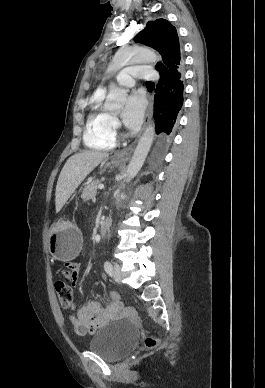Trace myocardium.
Listing matches in <instances>:
<instances>
[{
    "mask_svg": "<svg viewBox=\"0 0 265 388\" xmlns=\"http://www.w3.org/2000/svg\"><path fill=\"white\" fill-rule=\"evenodd\" d=\"M110 89H111V88H110V86H108V84H107L106 91H107V92H109V91H110ZM100 91H103V90H100Z\"/></svg>",
    "mask_w": 265,
    "mask_h": 388,
    "instance_id": "obj_1",
    "label": "myocardium"
}]
</instances>
